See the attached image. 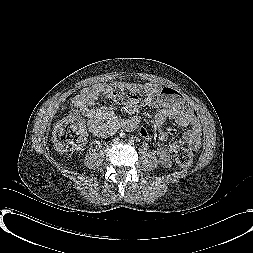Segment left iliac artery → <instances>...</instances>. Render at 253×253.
<instances>
[{
  "instance_id": "obj_1",
  "label": "left iliac artery",
  "mask_w": 253,
  "mask_h": 253,
  "mask_svg": "<svg viewBox=\"0 0 253 253\" xmlns=\"http://www.w3.org/2000/svg\"><path fill=\"white\" fill-rule=\"evenodd\" d=\"M130 144H134V141H130Z\"/></svg>"
}]
</instances>
